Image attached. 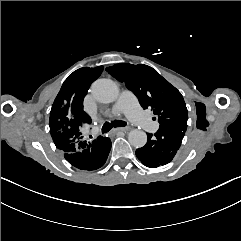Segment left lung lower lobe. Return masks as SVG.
Returning a JSON list of instances; mask_svg holds the SVG:
<instances>
[{
	"mask_svg": "<svg viewBox=\"0 0 241 241\" xmlns=\"http://www.w3.org/2000/svg\"><path fill=\"white\" fill-rule=\"evenodd\" d=\"M187 123L183 125H164L153 134H147L148 141L136 150L137 158L147 167L156 168L168 164L179 149Z\"/></svg>",
	"mask_w": 241,
	"mask_h": 241,
	"instance_id": "1",
	"label": "left lung lower lobe"
}]
</instances>
